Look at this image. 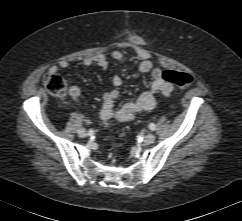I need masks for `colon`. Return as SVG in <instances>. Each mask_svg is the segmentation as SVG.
Wrapping results in <instances>:
<instances>
[{
    "mask_svg": "<svg viewBox=\"0 0 242 221\" xmlns=\"http://www.w3.org/2000/svg\"><path fill=\"white\" fill-rule=\"evenodd\" d=\"M162 78L179 88H188L193 83V77L186 72L167 70L162 73ZM44 87L54 96L64 97L67 90L65 79L56 72H47L43 75Z\"/></svg>",
    "mask_w": 242,
    "mask_h": 221,
    "instance_id": "colon-1",
    "label": "colon"
}]
</instances>
